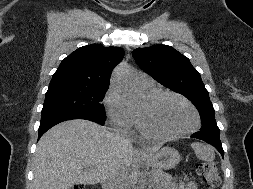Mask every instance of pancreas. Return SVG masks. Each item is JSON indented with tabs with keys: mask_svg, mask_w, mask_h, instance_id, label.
Masks as SVG:
<instances>
[{
	"mask_svg": "<svg viewBox=\"0 0 253 189\" xmlns=\"http://www.w3.org/2000/svg\"><path fill=\"white\" fill-rule=\"evenodd\" d=\"M153 178L154 182L157 184V186L162 187L169 185L172 180V176L163 172L160 169L153 170Z\"/></svg>",
	"mask_w": 253,
	"mask_h": 189,
	"instance_id": "obj_1",
	"label": "pancreas"
}]
</instances>
